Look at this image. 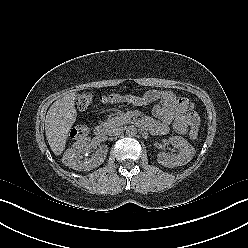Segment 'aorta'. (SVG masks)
<instances>
[{"mask_svg":"<svg viewBox=\"0 0 248 248\" xmlns=\"http://www.w3.org/2000/svg\"><path fill=\"white\" fill-rule=\"evenodd\" d=\"M125 130L128 136H135L137 134V128L134 125L127 126Z\"/></svg>","mask_w":248,"mask_h":248,"instance_id":"762f6f07","label":"aorta"}]
</instances>
